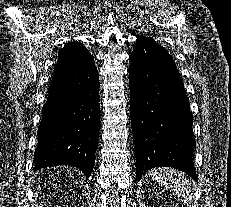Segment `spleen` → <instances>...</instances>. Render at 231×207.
<instances>
[{"instance_id": "spleen-1", "label": "spleen", "mask_w": 231, "mask_h": 207, "mask_svg": "<svg viewBox=\"0 0 231 207\" xmlns=\"http://www.w3.org/2000/svg\"><path fill=\"white\" fill-rule=\"evenodd\" d=\"M153 180L163 185L180 198V200L189 204L192 202V193L189 190L188 181L178 171L168 168H156L150 171Z\"/></svg>"}]
</instances>
